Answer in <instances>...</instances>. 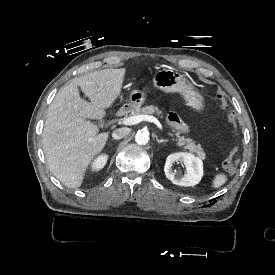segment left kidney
<instances>
[{
	"label": "left kidney",
	"instance_id": "obj_1",
	"mask_svg": "<svg viewBox=\"0 0 275 275\" xmlns=\"http://www.w3.org/2000/svg\"><path fill=\"white\" fill-rule=\"evenodd\" d=\"M176 161L184 163L187 170L185 177L180 178L172 171L171 164ZM164 172L166 177L176 185L194 186L199 183L203 175L202 161L190 153H172L166 158Z\"/></svg>",
	"mask_w": 275,
	"mask_h": 275
}]
</instances>
